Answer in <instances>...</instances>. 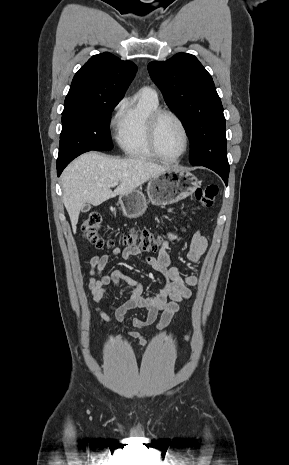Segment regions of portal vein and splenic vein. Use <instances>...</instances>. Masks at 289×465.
Returning a JSON list of instances; mask_svg holds the SVG:
<instances>
[{
    "label": "portal vein and splenic vein",
    "instance_id": "portal-vein-and-splenic-vein-1",
    "mask_svg": "<svg viewBox=\"0 0 289 465\" xmlns=\"http://www.w3.org/2000/svg\"><path fill=\"white\" fill-rule=\"evenodd\" d=\"M116 185H118V183H117V182H114L111 186H116Z\"/></svg>",
    "mask_w": 289,
    "mask_h": 465
}]
</instances>
